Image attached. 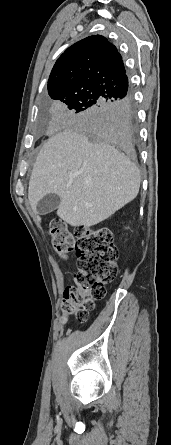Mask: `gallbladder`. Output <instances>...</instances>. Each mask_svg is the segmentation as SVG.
<instances>
[{"label": "gallbladder", "instance_id": "bac80fb5", "mask_svg": "<svg viewBox=\"0 0 171 445\" xmlns=\"http://www.w3.org/2000/svg\"><path fill=\"white\" fill-rule=\"evenodd\" d=\"M61 202L59 195L50 193L45 195L37 204L36 211L39 215H45L57 209Z\"/></svg>", "mask_w": 171, "mask_h": 445}]
</instances>
